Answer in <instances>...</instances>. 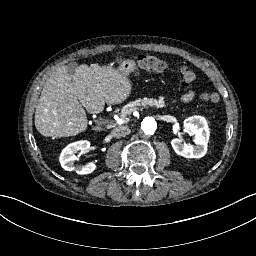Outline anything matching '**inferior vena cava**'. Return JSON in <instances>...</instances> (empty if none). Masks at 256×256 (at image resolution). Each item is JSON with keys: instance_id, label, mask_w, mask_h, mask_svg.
Instances as JSON below:
<instances>
[{"instance_id": "inferior-vena-cava-1", "label": "inferior vena cava", "mask_w": 256, "mask_h": 256, "mask_svg": "<svg viewBox=\"0 0 256 256\" xmlns=\"http://www.w3.org/2000/svg\"><path fill=\"white\" fill-rule=\"evenodd\" d=\"M112 133L115 137L121 138L128 135L130 133V129L127 125H121V126L115 127L112 130Z\"/></svg>"}]
</instances>
